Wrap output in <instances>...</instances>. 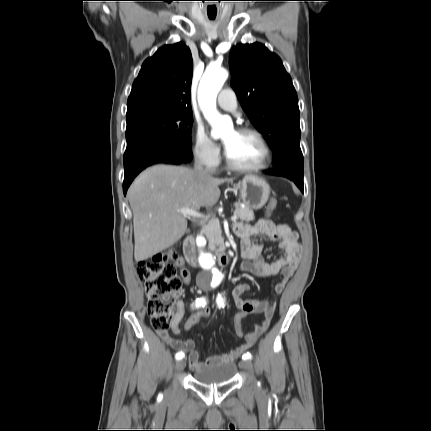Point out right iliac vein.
Returning <instances> with one entry per match:
<instances>
[{"instance_id":"right-iliac-vein-1","label":"right iliac vein","mask_w":431,"mask_h":431,"mask_svg":"<svg viewBox=\"0 0 431 431\" xmlns=\"http://www.w3.org/2000/svg\"><path fill=\"white\" fill-rule=\"evenodd\" d=\"M186 362L184 360L177 361L175 365V371L176 373L181 372L185 368Z\"/></svg>"}]
</instances>
